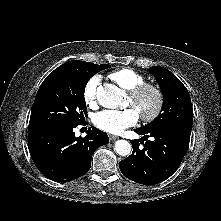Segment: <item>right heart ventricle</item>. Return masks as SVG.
Segmentation results:
<instances>
[{"mask_svg": "<svg viewBox=\"0 0 221 221\" xmlns=\"http://www.w3.org/2000/svg\"><path fill=\"white\" fill-rule=\"evenodd\" d=\"M108 78L127 91L146 82L145 76L130 68L115 70L108 75Z\"/></svg>", "mask_w": 221, "mask_h": 221, "instance_id": "obj_1", "label": "right heart ventricle"}]
</instances>
